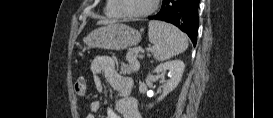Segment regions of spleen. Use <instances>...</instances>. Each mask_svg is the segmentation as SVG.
Instances as JSON below:
<instances>
[{"label":"spleen","mask_w":273,"mask_h":118,"mask_svg":"<svg viewBox=\"0 0 273 118\" xmlns=\"http://www.w3.org/2000/svg\"><path fill=\"white\" fill-rule=\"evenodd\" d=\"M148 36L153 44L154 58L158 61L168 60L188 48L186 35L164 22L150 21Z\"/></svg>","instance_id":"3e777b00"}]
</instances>
